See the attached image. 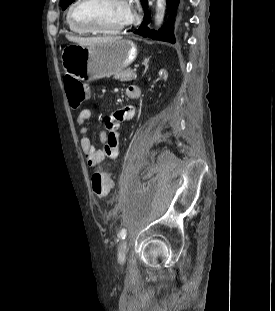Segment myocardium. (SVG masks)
<instances>
[{"mask_svg": "<svg viewBox=\"0 0 275 311\" xmlns=\"http://www.w3.org/2000/svg\"><path fill=\"white\" fill-rule=\"evenodd\" d=\"M95 0H77L72 6L70 7L68 11V19L71 24L85 30L88 33H94V34H102V35H115L120 32H122L127 26L128 22H126L124 25H121L117 28L114 29H103V28H98L90 23L84 22L79 20L76 17V11L78 8H80L83 5H86L88 3L94 2Z\"/></svg>", "mask_w": 275, "mask_h": 311, "instance_id": "obj_1", "label": "myocardium"}]
</instances>
